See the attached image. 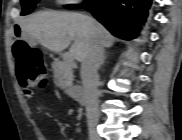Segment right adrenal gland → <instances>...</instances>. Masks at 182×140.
Listing matches in <instances>:
<instances>
[{
	"instance_id": "1",
	"label": "right adrenal gland",
	"mask_w": 182,
	"mask_h": 140,
	"mask_svg": "<svg viewBox=\"0 0 182 140\" xmlns=\"http://www.w3.org/2000/svg\"><path fill=\"white\" fill-rule=\"evenodd\" d=\"M106 57H107V56H106V55H104L101 65H103V64H104Z\"/></svg>"
}]
</instances>
